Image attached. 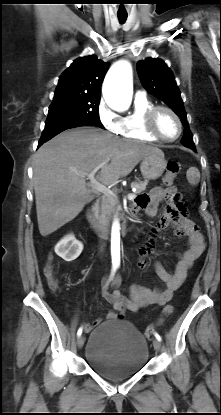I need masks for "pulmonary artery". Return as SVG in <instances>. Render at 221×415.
Segmentation results:
<instances>
[{
    "label": "pulmonary artery",
    "mask_w": 221,
    "mask_h": 415,
    "mask_svg": "<svg viewBox=\"0 0 221 415\" xmlns=\"http://www.w3.org/2000/svg\"><path fill=\"white\" fill-rule=\"evenodd\" d=\"M136 97H141V96H145V92L142 90H138L135 94Z\"/></svg>",
    "instance_id": "1"
}]
</instances>
